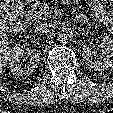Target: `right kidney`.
<instances>
[{
	"label": "right kidney",
	"mask_w": 113,
	"mask_h": 113,
	"mask_svg": "<svg viewBox=\"0 0 113 113\" xmlns=\"http://www.w3.org/2000/svg\"><path fill=\"white\" fill-rule=\"evenodd\" d=\"M27 55L30 56L28 63H22L25 56L23 46L20 43L15 44L10 58V69L14 76H23L31 74L38 66L40 52L37 49H29Z\"/></svg>",
	"instance_id": "right-kidney-1"
}]
</instances>
